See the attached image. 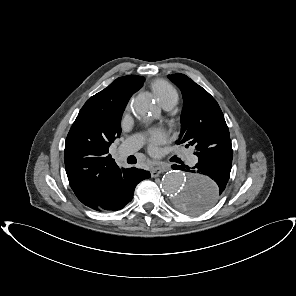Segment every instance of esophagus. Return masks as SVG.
Returning <instances> with one entry per match:
<instances>
[{"label": "esophagus", "mask_w": 296, "mask_h": 296, "mask_svg": "<svg viewBox=\"0 0 296 296\" xmlns=\"http://www.w3.org/2000/svg\"><path fill=\"white\" fill-rule=\"evenodd\" d=\"M167 170H168V167H166L164 165H156L151 168L150 172H151L152 177H156L159 174H161Z\"/></svg>", "instance_id": "esophagus-1"}]
</instances>
